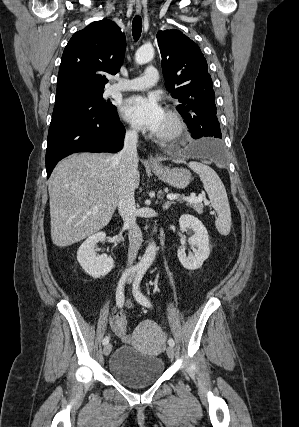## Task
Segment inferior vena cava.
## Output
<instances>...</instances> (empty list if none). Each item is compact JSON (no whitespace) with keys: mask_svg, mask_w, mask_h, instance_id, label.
Segmentation results:
<instances>
[{"mask_svg":"<svg viewBox=\"0 0 299 427\" xmlns=\"http://www.w3.org/2000/svg\"><path fill=\"white\" fill-rule=\"evenodd\" d=\"M138 135L136 130H129L125 134L123 148L115 155L120 161V185L117 207L125 228L128 229L129 248L127 266L131 267L136 260L142 244V232L136 223L137 211L135 206V177L138 167L137 155Z\"/></svg>","mask_w":299,"mask_h":427,"instance_id":"602c4592","label":"inferior vena cava"}]
</instances>
